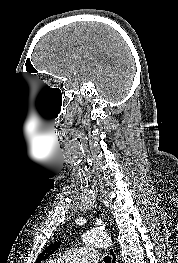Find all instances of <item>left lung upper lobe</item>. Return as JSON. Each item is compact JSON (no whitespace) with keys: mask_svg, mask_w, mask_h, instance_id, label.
I'll list each match as a JSON object with an SVG mask.
<instances>
[{"mask_svg":"<svg viewBox=\"0 0 178 263\" xmlns=\"http://www.w3.org/2000/svg\"><path fill=\"white\" fill-rule=\"evenodd\" d=\"M61 245V241L52 243L45 248V250L38 256L36 263H41V261L46 260L50 255H52Z\"/></svg>","mask_w":178,"mask_h":263,"instance_id":"5c2ea615","label":"left lung upper lobe"}]
</instances>
